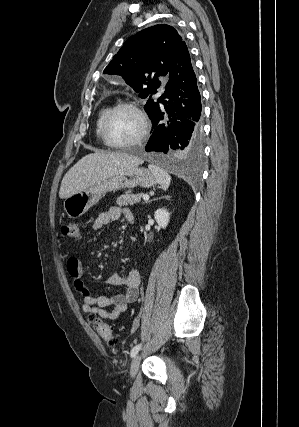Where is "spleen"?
<instances>
[{"label": "spleen", "instance_id": "spleen-1", "mask_svg": "<svg viewBox=\"0 0 299 427\" xmlns=\"http://www.w3.org/2000/svg\"><path fill=\"white\" fill-rule=\"evenodd\" d=\"M148 168L155 176L161 188L163 190H167L171 183V176L168 174V172L153 164H149Z\"/></svg>", "mask_w": 299, "mask_h": 427}]
</instances>
